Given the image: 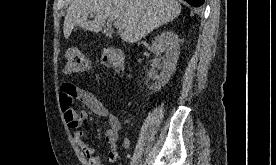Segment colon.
I'll list each match as a JSON object with an SVG mask.
<instances>
[{
    "label": "colon",
    "instance_id": "obj_1",
    "mask_svg": "<svg viewBox=\"0 0 276 165\" xmlns=\"http://www.w3.org/2000/svg\"><path fill=\"white\" fill-rule=\"evenodd\" d=\"M64 71L68 75H77L90 69L88 58L78 49H70L65 54ZM122 54L116 50L106 48L102 52V62L109 67L122 68Z\"/></svg>",
    "mask_w": 276,
    "mask_h": 165
}]
</instances>
